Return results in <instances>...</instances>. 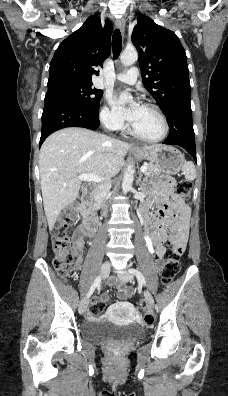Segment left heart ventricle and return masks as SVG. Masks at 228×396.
Here are the masks:
<instances>
[{
	"instance_id": "left-heart-ventricle-1",
	"label": "left heart ventricle",
	"mask_w": 228,
	"mask_h": 396,
	"mask_svg": "<svg viewBox=\"0 0 228 396\" xmlns=\"http://www.w3.org/2000/svg\"><path fill=\"white\" fill-rule=\"evenodd\" d=\"M135 130L146 138H156L161 135L163 127L159 117L151 110L140 107L135 121Z\"/></svg>"
}]
</instances>
